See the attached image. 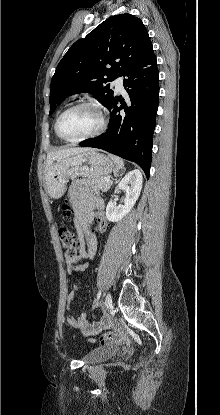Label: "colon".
Instances as JSON below:
<instances>
[{"mask_svg": "<svg viewBox=\"0 0 220 415\" xmlns=\"http://www.w3.org/2000/svg\"><path fill=\"white\" fill-rule=\"evenodd\" d=\"M63 213L70 212V208L67 205L62 207ZM58 235L63 248L66 251V255L70 260H75L78 256L79 244L72 231L66 226H60L58 229ZM111 336V335H109Z\"/></svg>", "mask_w": 220, "mask_h": 415, "instance_id": "colon-1", "label": "colon"}]
</instances>
